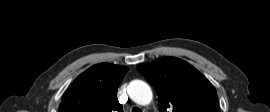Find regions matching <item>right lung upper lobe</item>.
Segmentation results:
<instances>
[{"label": "right lung upper lobe", "mask_w": 270, "mask_h": 112, "mask_svg": "<svg viewBox=\"0 0 270 112\" xmlns=\"http://www.w3.org/2000/svg\"><path fill=\"white\" fill-rule=\"evenodd\" d=\"M127 71L109 63L90 67L70 85L58 112H123L116 94Z\"/></svg>", "instance_id": "obj_1"}]
</instances>
